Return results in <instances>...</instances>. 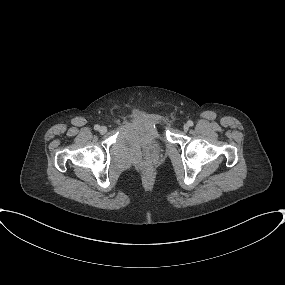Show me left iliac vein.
<instances>
[{
    "label": "left iliac vein",
    "mask_w": 285,
    "mask_h": 285,
    "mask_svg": "<svg viewBox=\"0 0 285 285\" xmlns=\"http://www.w3.org/2000/svg\"><path fill=\"white\" fill-rule=\"evenodd\" d=\"M183 129H184L185 131H188L189 125H188V124H184Z\"/></svg>",
    "instance_id": "obj_1"
}]
</instances>
